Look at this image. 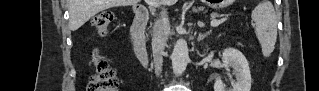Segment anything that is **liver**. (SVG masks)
I'll list each match as a JSON object with an SVG mask.
<instances>
[{"label":"liver","mask_w":319,"mask_h":91,"mask_svg":"<svg viewBox=\"0 0 319 91\" xmlns=\"http://www.w3.org/2000/svg\"><path fill=\"white\" fill-rule=\"evenodd\" d=\"M140 0H70V27L75 31L99 12L117 7L135 5ZM177 0H156L159 4L173 5Z\"/></svg>","instance_id":"6515ba94"}]
</instances>
